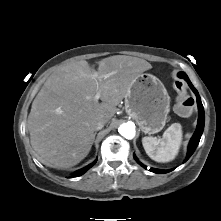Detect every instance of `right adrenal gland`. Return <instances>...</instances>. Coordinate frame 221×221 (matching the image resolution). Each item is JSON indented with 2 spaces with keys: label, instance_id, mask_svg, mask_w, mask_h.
<instances>
[{
  "label": "right adrenal gland",
  "instance_id": "2a0ac1e0",
  "mask_svg": "<svg viewBox=\"0 0 221 221\" xmlns=\"http://www.w3.org/2000/svg\"><path fill=\"white\" fill-rule=\"evenodd\" d=\"M95 135H96V133H94V139H95ZM94 139H93V141H94Z\"/></svg>",
  "mask_w": 221,
  "mask_h": 221
}]
</instances>
